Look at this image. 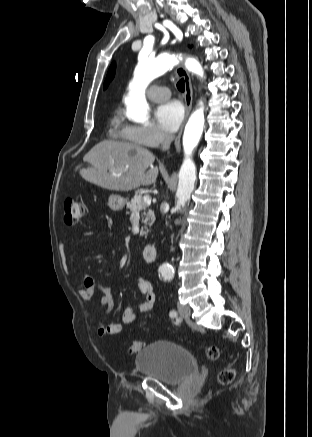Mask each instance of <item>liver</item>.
Instances as JSON below:
<instances>
[{"mask_svg":"<svg viewBox=\"0 0 312 437\" xmlns=\"http://www.w3.org/2000/svg\"><path fill=\"white\" fill-rule=\"evenodd\" d=\"M154 155L146 148L127 142L105 140L83 158L91 167L80 170L88 182L108 190L129 191L153 184L159 173Z\"/></svg>","mask_w":312,"mask_h":437,"instance_id":"obj_1","label":"liver"}]
</instances>
